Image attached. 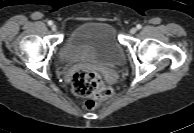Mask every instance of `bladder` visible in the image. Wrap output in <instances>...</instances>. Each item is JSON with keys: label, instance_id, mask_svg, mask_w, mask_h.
Returning <instances> with one entry per match:
<instances>
[{"label": "bladder", "instance_id": "obj_1", "mask_svg": "<svg viewBox=\"0 0 194 133\" xmlns=\"http://www.w3.org/2000/svg\"><path fill=\"white\" fill-rule=\"evenodd\" d=\"M65 62H91L117 65L123 61V50L112 25L105 21H86L77 26L61 48Z\"/></svg>", "mask_w": 194, "mask_h": 133}]
</instances>
